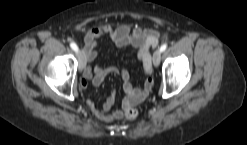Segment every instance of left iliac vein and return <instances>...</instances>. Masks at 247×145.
<instances>
[{
  "label": "left iliac vein",
  "mask_w": 247,
  "mask_h": 145,
  "mask_svg": "<svg viewBox=\"0 0 247 145\" xmlns=\"http://www.w3.org/2000/svg\"><path fill=\"white\" fill-rule=\"evenodd\" d=\"M161 50L160 49H158V50H156L155 52H154V54H153V65L155 66V67H157L158 65H159V63H160V60H161Z\"/></svg>",
  "instance_id": "left-iliac-vein-1"
}]
</instances>
